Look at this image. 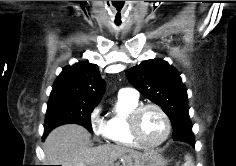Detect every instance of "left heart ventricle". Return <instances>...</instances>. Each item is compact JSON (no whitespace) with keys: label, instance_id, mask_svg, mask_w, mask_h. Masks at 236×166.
<instances>
[{"label":"left heart ventricle","instance_id":"obj_1","mask_svg":"<svg viewBox=\"0 0 236 166\" xmlns=\"http://www.w3.org/2000/svg\"><path fill=\"white\" fill-rule=\"evenodd\" d=\"M139 130L147 143L158 142L165 133L164 119L156 110L147 109L140 117Z\"/></svg>","mask_w":236,"mask_h":166}]
</instances>
